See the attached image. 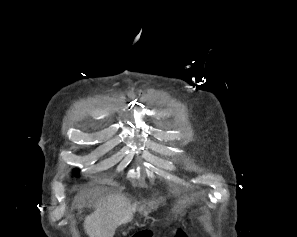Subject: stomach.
Returning a JSON list of instances; mask_svg holds the SVG:
<instances>
[{
    "mask_svg": "<svg viewBox=\"0 0 297 237\" xmlns=\"http://www.w3.org/2000/svg\"><path fill=\"white\" fill-rule=\"evenodd\" d=\"M148 212H149V210H146V211H144V214L146 215V214H148Z\"/></svg>",
    "mask_w": 297,
    "mask_h": 237,
    "instance_id": "1",
    "label": "stomach"
}]
</instances>
